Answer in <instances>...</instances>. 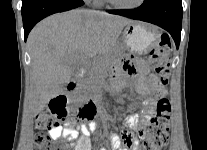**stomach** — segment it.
Listing matches in <instances>:
<instances>
[{
    "label": "stomach",
    "mask_w": 207,
    "mask_h": 150,
    "mask_svg": "<svg viewBox=\"0 0 207 150\" xmlns=\"http://www.w3.org/2000/svg\"><path fill=\"white\" fill-rule=\"evenodd\" d=\"M158 32L144 24L130 23L121 32L120 46L130 49L133 53L142 55L156 44Z\"/></svg>",
    "instance_id": "stomach-1"
}]
</instances>
